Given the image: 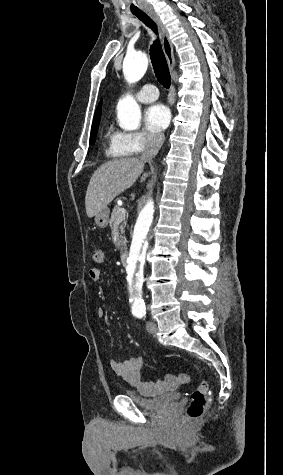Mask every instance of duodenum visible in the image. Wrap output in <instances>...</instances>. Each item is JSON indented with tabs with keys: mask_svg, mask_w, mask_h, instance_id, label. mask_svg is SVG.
Returning a JSON list of instances; mask_svg holds the SVG:
<instances>
[{
	"mask_svg": "<svg viewBox=\"0 0 283 475\" xmlns=\"http://www.w3.org/2000/svg\"><path fill=\"white\" fill-rule=\"evenodd\" d=\"M128 256H129V253H128L127 251H123V252L121 253L120 258H121V262H122L123 264H126V263H127Z\"/></svg>",
	"mask_w": 283,
	"mask_h": 475,
	"instance_id": "410a0bca",
	"label": "duodenum"
}]
</instances>
